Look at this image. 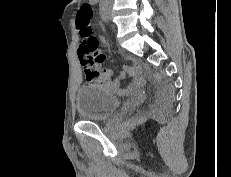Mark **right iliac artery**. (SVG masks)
<instances>
[{"instance_id": "obj_1", "label": "right iliac artery", "mask_w": 231, "mask_h": 177, "mask_svg": "<svg viewBox=\"0 0 231 177\" xmlns=\"http://www.w3.org/2000/svg\"><path fill=\"white\" fill-rule=\"evenodd\" d=\"M100 14L101 18L104 22H107L108 20V12H107V3L103 2L100 6Z\"/></svg>"}]
</instances>
